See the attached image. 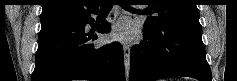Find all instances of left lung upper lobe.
<instances>
[{
  "label": "left lung upper lobe",
  "instance_id": "left-lung-upper-lobe-1",
  "mask_svg": "<svg viewBox=\"0 0 237 81\" xmlns=\"http://www.w3.org/2000/svg\"><path fill=\"white\" fill-rule=\"evenodd\" d=\"M154 12L158 16H149L144 24L148 30H156L168 23L199 24V10L195 0H152Z\"/></svg>",
  "mask_w": 237,
  "mask_h": 81
}]
</instances>
